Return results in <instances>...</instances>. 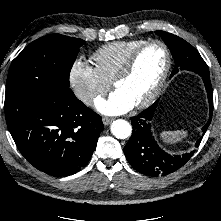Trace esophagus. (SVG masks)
<instances>
[{"label": "esophagus", "instance_id": "obj_1", "mask_svg": "<svg viewBox=\"0 0 221 221\" xmlns=\"http://www.w3.org/2000/svg\"><path fill=\"white\" fill-rule=\"evenodd\" d=\"M112 118L109 117H103L102 121L104 125H109L112 122Z\"/></svg>", "mask_w": 221, "mask_h": 221}]
</instances>
